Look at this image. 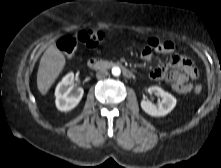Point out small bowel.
I'll return each mask as SVG.
<instances>
[{"mask_svg":"<svg viewBox=\"0 0 221 168\" xmlns=\"http://www.w3.org/2000/svg\"><path fill=\"white\" fill-rule=\"evenodd\" d=\"M164 43L169 45V48L162 53H172L174 51V45L170 41H164ZM154 49L146 45L142 50L141 57L144 61H151L153 57ZM170 66L173 69L168 72L167 65H160L149 73L152 79L160 80L166 79L171 83L172 89L179 94H186L191 91L192 84L189 82V77H195L197 75V70L191 60L182 56L174 55L170 59Z\"/></svg>","mask_w":221,"mask_h":168,"instance_id":"obj_1","label":"small bowel"}]
</instances>
